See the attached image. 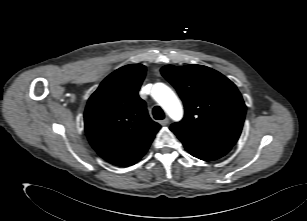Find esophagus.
I'll return each instance as SVG.
<instances>
[{
    "label": "esophagus",
    "mask_w": 307,
    "mask_h": 221,
    "mask_svg": "<svg viewBox=\"0 0 307 221\" xmlns=\"http://www.w3.org/2000/svg\"><path fill=\"white\" fill-rule=\"evenodd\" d=\"M169 123V118H165V119H163V120H161L160 121V124L162 125V126H166L167 124Z\"/></svg>",
    "instance_id": "1"
}]
</instances>
